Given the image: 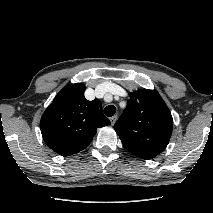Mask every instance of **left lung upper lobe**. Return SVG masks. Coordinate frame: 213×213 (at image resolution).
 I'll return each instance as SVG.
<instances>
[{
  "mask_svg": "<svg viewBox=\"0 0 213 213\" xmlns=\"http://www.w3.org/2000/svg\"><path fill=\"white\" fill-rule=\"evenodd\" d=\"M129 96L127 107L114 129L130 153L142 159H152L169 143L172 115L155 90L141 89Z\"/></svg>",
  "mask_w": 213,
  "mask_h": 213,
  "instance_id": "1",
  "label": "left lung upper lobe"
}]
</instances>
